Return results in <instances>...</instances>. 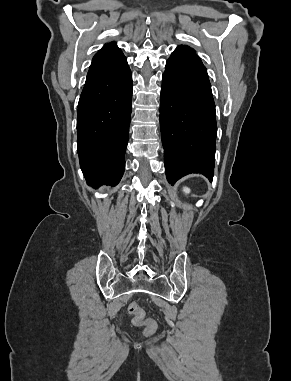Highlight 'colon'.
<instances>
[{
    "label": "colon",
    "mask_w": 291,
    "mask_h": 381,
    "mask_svg": "<svg viewBox=\"0 0 291 381\" xmlns=\"http://www.w3.org/2000/svg\"><path fill=\"white\" fill-rule=\"evenodd\" d=\"M128 313L132 315V323L135 326H145L147 332H153L156 325L152 320L146 319L145 313L136 302H132L128 306Z\"/></svg>",
    "instance_id": "5ec220e1"
}]
</instances>
